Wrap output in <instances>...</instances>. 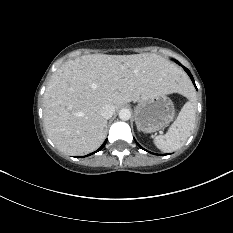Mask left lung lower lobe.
Instances as JSON below:
<instances>
[{
    "mask_svg": "<svg viewBox=\"0 0 233 233\" xmlns=\"http://www.w3.org/2000/svg\"><path fill=\"white\" fill-rule=\"evenodd\" d=\"M176 63H178L179 65H181L178 61H176V60H174ZM182 66V65H181ZM183 68H184V70L187 72V74L190 76V78H191V80H192V82L194 83V85H195V82H194V79H193V76L191 75V73H190V71L187 69V68H185L184 66H183ZM138 144V143H137ZM138 146L139 147H141L139 144H138ZM142 148V147H141ZM143 149V148H142Z\"/></svg>",
    "mask_w": 233,
    "mask_h": 233,
    "instance_id": "1",
    "label": "left lung lower lobe"
}]
</instances>
